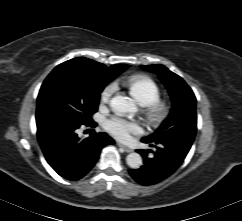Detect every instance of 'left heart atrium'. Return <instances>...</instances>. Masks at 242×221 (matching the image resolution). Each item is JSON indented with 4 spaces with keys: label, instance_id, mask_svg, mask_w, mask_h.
I'll return each mask as SVG.
<instances>
[{
    "label": "left heart atrium",
    "instance_id": "39dd6f15",
    "mask_svg": "<svg viewBox=\"0 0 242 221\" xmlns=\"http://www.w3.org/2000/svg\"><path fill=\"white\" fill-rule=\"evenodd\" d=\"M105 129L122 141H128L132 134H139L141 127L134 121L127 120L120 116H113L104 122Z\"/></svg>",
    "mask_w": 242,
    "mask_h": 221
}]
</instances>
